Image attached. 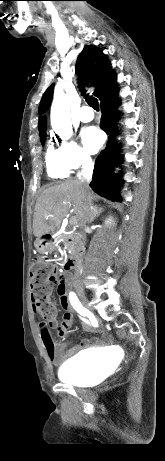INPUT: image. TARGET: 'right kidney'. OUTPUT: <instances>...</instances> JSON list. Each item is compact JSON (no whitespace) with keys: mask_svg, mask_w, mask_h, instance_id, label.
<instances>
[{"mask_svg":"<svg viewBox=\"0 0 165 461\" xmlns=\"http://www.w3.org/2000/svg\"><path fill=\"white\" fill-rule=\"evenodd\" d=\"M113 222L112 218H108L106 221H105V224L108 225V224H111Z\"/></svg>","mask_w":165,"mask_h":461,"instance_id":"obj_1","label":"right kidney"}]
</instances>
